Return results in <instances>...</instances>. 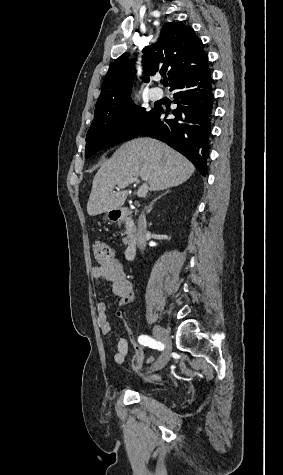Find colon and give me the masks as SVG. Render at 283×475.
<instances>
[{
	"instance_id": "colon-1",
	"label": "colon",
	"mask_w": 283,
	"mask_h": 475,
	"mask_svg": "<svg viewBox=\"0 0 283 475\" xmlns=\"http://www.w3.org/2000/svg\"><path fill=\"white\" fill-rule=\"evenodd\" d=\"M93 256L99 265H106L115 261L114 249L102 242L93 245Z\"/></svg>"
}]
</instances>
